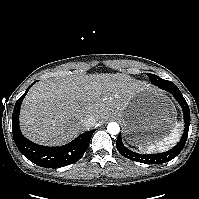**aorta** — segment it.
<instances>
[{"label":"aorta","mask_w":199,"mask_h":199,"mask_svg":"<svg viewBox=\"0 0 199 199\" xmlns=\"http://www.w3.org/2000/svg\"><path fill=\"white\" fill-rule=\"evenodd\" d=\"M107 131L111 135H117L120 131V127H119L118 123L111 122L107 126Z\"/></svg>","instance_id":"762f6f07"}]
</instances>
